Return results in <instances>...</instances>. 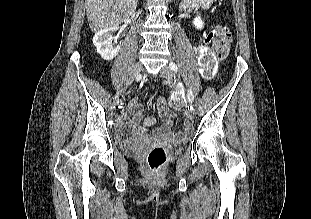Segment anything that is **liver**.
Here are the masks:
<instances>
[{
  "label": "liver",
  "mask_w": 311,
  "mask_h": 219,
  "mask_svg": "<svg viewBox=\"0 0 311 219\" xmlns=\"http://www.w3.org/2000/svg\"><path fill=\"white\" fill-rule=\"evenodd\" d=\"M138 0H85L91 31L117 27L136 10Z\"/></svg>",
  "instance_id": "6515ba94"
}]
</instances>
